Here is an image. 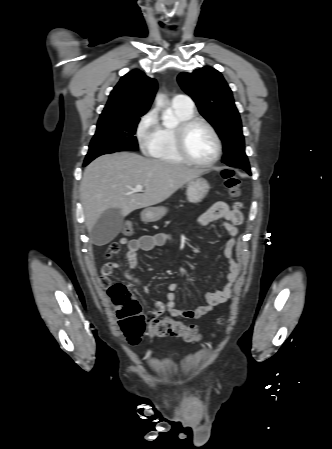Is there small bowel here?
<instances>
[{
    "label": "small bowel",
    "instance_id": "1",
    "mask_svg": "<svg viewBox=\"0 0 332 449\" xmlns=\"http://www.w3.org/2000/svg\"><path fill=\"white\" fill-rule=\"evenodd\" d=\"M221 221L226 229L228 239L225 242L223 253L229 261V271L226 277V283L222 289L207 292L205 294L206 303L193 310L175 308V291L178 288L177 282L168 284V293L165 302L155 301L152 310L148 313V319H156L161 314L168 312L172 316H179L185 319H198L208 313L220 304L226 302L232 294V287L237 281L241 271L240 264L234 259V249L236 246V238L239 234L238 226L243 222L242 206L240 204L229 205L224 201H217L210 205L205 212L199 217L198 223L200 227H204L212 222ZM171 237L165 233L155 235L141 236L135 239H121L122 244L127 245L126 259L128 269L126 278L136 286H141L139 278L133 275V270L138 265V252L156 251L159 247L170 241ZM119 265L115 262L105 263L101 268V283L108 284L110 275L117 270Z\"/></svg>",
    "mask_w": 332,
    "mask_h": 449
}]
</instances>
